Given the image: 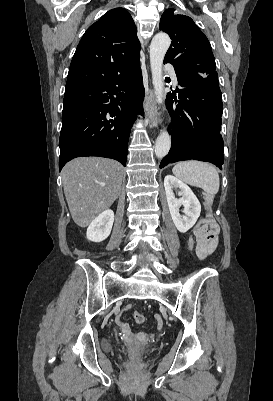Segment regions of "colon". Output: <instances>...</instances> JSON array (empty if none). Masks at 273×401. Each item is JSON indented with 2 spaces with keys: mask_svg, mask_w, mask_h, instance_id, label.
Segmentation results:
<instances>
[{
  "mask_svg": "<svg viewBox=\"0 0 273 401\" xmlns=\"http://www.w3.org/2000/svg\"><path fill=\"white\" fill-rule=\"evenodd\" d=\"M200 228L203 229L206 232H200L199 233V240L200 241H217L219 238V235L217 233V225L215 223V220L212 217H206L200 222ZM135 320L138 323H141L145 315L143 312H136L134 315Z\"/></svg>",
  "mask_w": 273,
  "mask_h": 401,
  "instance_id": "colon-1",
  "label": "colon"
}]
</instances>
